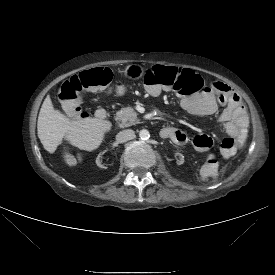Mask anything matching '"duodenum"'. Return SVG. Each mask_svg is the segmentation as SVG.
I'll use <instances>...</instances> for the list:
<instances>
[{"label":"duodenum","instance_id":"duodenum-1","mask_svg":"<svg viewBox=\"0 0 275 275\" xmlns=\"http://www.w3.org/2000/svg\"><path fill=\"white\" fill-rule=\"evenodd\" d=\"M71 115H73V112L71 113ZM96 117L100 120L104 119L106 117V110L104 108L97 109Z\"/></svg>","mask_w":275,"mask_h":275}]
</instances>
